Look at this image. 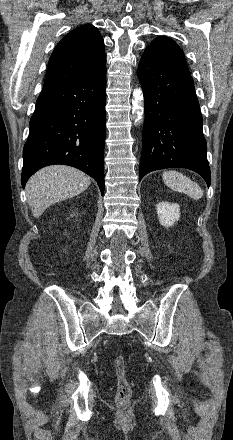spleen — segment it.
Masks as SVG:
<instances>
[{"label":"spleen","instance_id":"obj_1","mask_svg":"<svg viewBox=\"0 0 233 440\" xmlns=\"http://www.w3.org/2000/svg\"><path fill=\"white\" fill-rule=\"evenodd\" d=\"M162 179L168 187L175 191L185 193L192 199L197 200L203 196V190L200 186L178 171H165L162 175Z\"/></svg>","mask_w":233,"mask_h":440}]
</instances>
